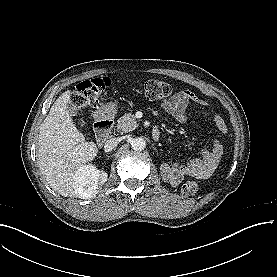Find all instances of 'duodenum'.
Returning a JSON list of instances; mask_svg holds the SVG:
<instances>
[{
	"label": "duodenum",
	"instance_id": "1",
	"mask_svg": "<svg viewBox=\"0 0 277 277\" xmlns=\"http://www.w3.org/2000/svg\"><path fill=\"white\" fill-rule=\"evenodd\" d=\"M114 125V120L111 118H107L104 111L99 110L97 112V121L94 125L95 132L98 137L99 143H104L110 137V133L112 127ZM151 138L154 141H158L160 139V131L158 129H153L151 131Z\"/></svg>",
	"mask_w": 277,
	"mask_h": 277
}]
</instances>
